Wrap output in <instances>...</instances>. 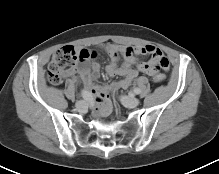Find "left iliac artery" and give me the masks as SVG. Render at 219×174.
I'll return each instance as SVG.
<instances>
[{"label":"left iliac artery","mask_w":219,"mask_h":174,"mask_svg":"<svg viewBox=\"0 0 219 174\" xmlns=\"http://www.w3.org/2000/svg\"><path fill=\"white\" fill-rule=\"evenodd\" d=\"M140 92H141V91H140L139 88H135V89H134V93H135V94H139Z\"/></svg>","instance_id":"left-iliac-artery-1"}]
</instances>
